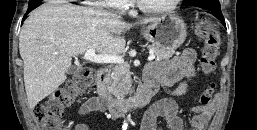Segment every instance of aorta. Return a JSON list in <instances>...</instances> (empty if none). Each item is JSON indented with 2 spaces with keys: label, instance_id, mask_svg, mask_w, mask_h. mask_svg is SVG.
<instances>
[{
  "label": "aorta",
  "instance_id": "obj_1",
  "mask_svg": "<svg viewBox=\"0 0 257 130\" xmlns=\"http://www.w3.org/2000/svg\"><path fill=\"white\" fill-rule=\"evenodd\" d=\"M127 127H128V123H127V121H124V123H123V128L126 130Z\"/></svg>",
  "mask_w": 257,
  "mask_h": 130
}]
</instances>
